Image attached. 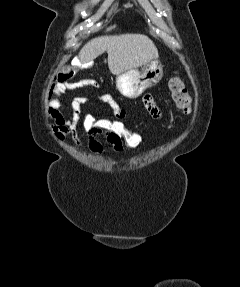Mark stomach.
<instances>
[{"instance_id":"stomach-1","label":"stomach","mask_w":240,"mask_h":287,"mask_svg":"<svg viewBox=\"0 0 240 287\" xmlns=\"http://www.w3.org/2000/svg\"><path fill=\"white\" fill-rule=\"evenodd\" d=\"M163 77V65L157 60L149 62L140 71L129 69L116 77V87L127 98L139 97L146 89L157 85Z\"/></svg>"}]
</instances>
